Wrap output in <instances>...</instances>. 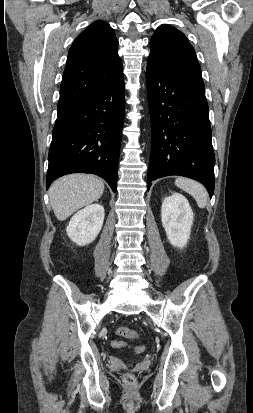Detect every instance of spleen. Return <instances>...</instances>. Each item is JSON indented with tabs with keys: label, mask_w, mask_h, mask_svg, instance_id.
Instances as JSON below:
<instances>
[{
	"label": "spleen",
	"mask_w": 253,
	"mask_h": 413,
	"mask_svg": "<svg viewBox=\"0 0 253 413\" xmlns=\"http://www.w3.org/2000/svg\"><path fill=\"white\" fill-rule=\"evenodd\" d=\"M175 185L178 188L190 194L191 196H193L199 208L203 209L206 207L208 193L202 184L189 178L178 177L175 180Z\"/></svg>",
	"instance_id": "spleen-1"
}]
</instances>
